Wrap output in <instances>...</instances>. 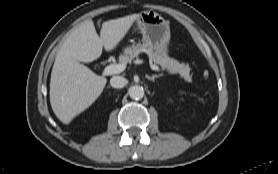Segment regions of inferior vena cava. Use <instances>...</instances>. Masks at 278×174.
<instances>
[{
    "label": "inferior vena cava",
    "mask_w": 278,
    "mask_h": 174,
    "mask_svg": "<svg viewBox=\"0 0 278 174\" xmlns=\"http://www.w3.org/2000/svg\"><path fill=\"white\" fill-rule=\"evenodd\" d=\"M110 84L113 88H123L127 84V80L122 76H113Z\"/></svg>",
    "instance_id": "inferior-vena-cava-1"
}]
</instances>
